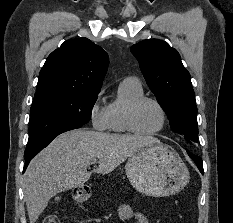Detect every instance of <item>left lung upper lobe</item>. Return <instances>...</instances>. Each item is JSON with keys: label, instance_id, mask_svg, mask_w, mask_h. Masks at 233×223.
<instances>
[{"label": "left lung upper lobe", "instance_id": "5c2ea615", "mask_svg": "<svg viewBox=\"0 0 233 223\" xmlns=\"http://www.w3.org/2000/svg\"><path fill=\"white\" fill-rule=\"evenodd\" d=\"M144 78L170 121L171 129L197 142V107L189 72L165 41L144 40L131 47Z\"/></svg>", "mask_w": 233, "mask_h": 223}]
</instances>
